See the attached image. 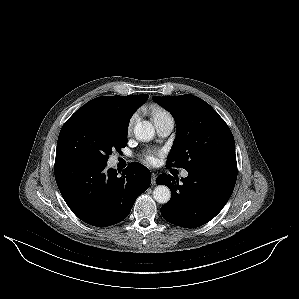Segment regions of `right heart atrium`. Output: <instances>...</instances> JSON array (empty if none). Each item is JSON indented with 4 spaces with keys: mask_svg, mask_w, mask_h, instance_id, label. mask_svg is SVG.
I'll return each instance as SVG.
<instances>
[{
    "mask_svg": "<svg viewBox=\"0 0 299 299\" xmlns=\"http://www.w3.org/2000/svg\"><path fill=\"white\" fill-rule=\"evenodd\" d=\"M135 120H136V114H134V115L130 118V120H129V123H128V131H131V129H132V127H133V124H134Z\"/></svg>",
    "mask_w": 299,
    "mask_h": 299,
    "instance_id": "right-heart-atrium-1",
    "label": "right heart atrium"
}]
</instances>
